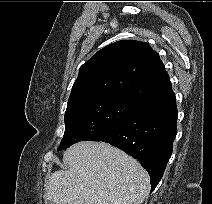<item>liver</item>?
Listing matches in <instances>:
<instances>
[{"label": "liver", "instance_id": "obj_1", "mask_svg": "<svg viewBox=\"0 0 212 204\" xmlns=\"http://www.w3.org/2000/svg\"><path fill=\"white\" fill-rule=\"evenodd\" d=\"M63 162L69 169L52 173L45 185L50 204H142L149 192L147 171L108 143H76Z\"/></svg>", "mask_w": 212, "mask_h": 204}]
</instances>
